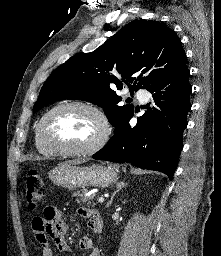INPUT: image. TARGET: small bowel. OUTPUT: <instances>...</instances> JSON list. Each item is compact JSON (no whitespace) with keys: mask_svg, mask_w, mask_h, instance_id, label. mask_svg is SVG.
I'll use <instances>...</instances> for the list:
<instances>
[{"mask_svg":"<svg viewBox=\"0 0 221 256\" xmlns=\"http://www.w3.org/2000/svg\"><path fill=\"white\" fill-rule=\"evenodd\" d=\"M79 216L88 219V226L94 232L102 228V221L99 213L90 208H78ZM32 230L36 240L42 248V256H54L50 241L60 252H70L71 248L66 242L65 234L68 231V224L60 210L48 206L43 214L32 219ZM79 247L82 250H90L88 256H101L100 251L94 246L90 237L82 236L79 239Z\"/></svg>","mask_w":221,"mask_h":256,"instance_id":"obj_1","label":"small bowel"}]
</instances>
